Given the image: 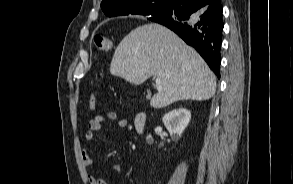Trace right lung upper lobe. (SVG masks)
<instances>
[{
  "label": "right lung upper lobe",
  "instance_id": "1",
  "mask_svg": "<svg viewBox=\"0 0 293 184\" xmlns=\"http://www.w3.org/2000/svg\"><path fill=\"white\" fill-rule=\"evenodd\" d=\"M173 0H103L101 3V9L108 17L139 14L152 9L156 5L164 4L161 12H163ZM204 6H209L218 0H201ZM151 16V15H149ZM151 19V18H149Z\"/></svg>",
  "mask_w": 293,
  "mask_h": 184
}]
</instances>
